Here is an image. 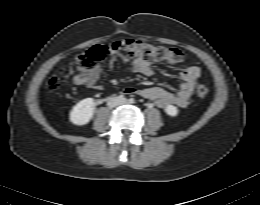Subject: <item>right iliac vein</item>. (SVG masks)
<instances>
[{"instance_id":"obj_1","label":"right iliac vein","mask_w":260,"mask_h":205,"mask_svg":"<svg viewBox=\"0 0 260 205\" xmlns=\"http://www.w3.org/2000/svg\"><path fill=\"white\" fill-rule=\"evenodd\" d=\"M109 104H110L111 106H116V105L119 104V99L113 97V98L110 99Z\"/></svg>"}]
</instances>
